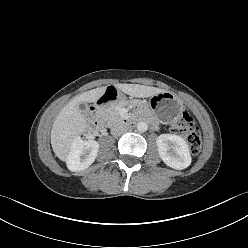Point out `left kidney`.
I'll return each instance as SVG.
<instances>
[{
  "label": "left kidney",
  "mask_w": 248,
  "mask_h": 248,
  "mask_svg": "<svg viewBox=\"0 0 248 248\" xmlns=\"http://www.w3.org/2000/svg\"><path fill=\"white\" fill-rule=\"evenodd\" d=\"M156 144L162 161L169 167L182 170L191 164V155L186 141L175 134H161Z\"/></svg>",
  "instance_id": "5707ae66"
}]
</instances>
